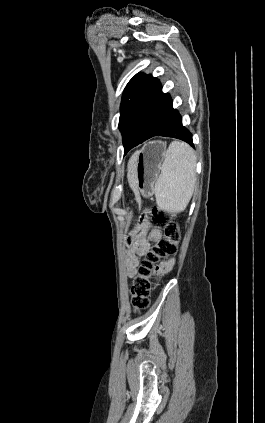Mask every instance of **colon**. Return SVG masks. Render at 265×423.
<instances>
[{
  "label": "colon",
  "mask_w": 265,
  "mask_h": 423,
  "mask_svg": "<svg viewBox=\"0 0 265 423\" xmlns=\"http://www.w3.org/2000/svg\"><path fill=\"white\" fill-rule=\"evenodd\" d=\"M149 227L163 229L164 235L148 248L131 283L132 305L139 312L149 306L150 277L154 266L164 258L174 255L180 241L179 228L171 221L170 213L158 208L144 212L141 223L128 238L129 241L134 240L135 244Z\"/></svg>",
  "instance_id": "1"
}]
</instances>
